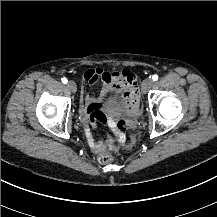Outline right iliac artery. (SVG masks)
Masks as SVG:
<instances>
[{"mask_svg": "<svg viewBox=\"0 0 217 217\" xmlns=\"http://www.w3.org/2000/svg\"><path fill=\"white\" fill-rule=\"evenodd\" d=\"M62 80V83L66 84L68 82V80L64 77L61 79Z\"/></svg>", "mask_w": 217, "mask_h": 217, "instance_id": "1", "label": "right iliac artery"}]
</instances>
